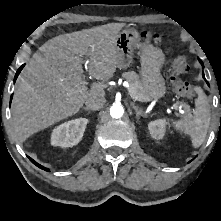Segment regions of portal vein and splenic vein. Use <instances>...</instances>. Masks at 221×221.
Segmentation results:
<instances>
[{"label": "portal vein and splenic vein", "instance_id": "portal-vein-and-splenic-vein-1", "mask_svg": "<svg viewBox=\"0 0 221 221\" xmlns=\"http://www.w3.org/2000/svg\"><path fill=\"white\" fill-rule=\"evenodd\" d=\"M87 64H88V61H86V63H85V68H86V69H87ZM85 90H87V88H86L85 85H82V86L78 87V91H79V92H83V91H85ZM129 93H130V95L132 96L133 99H135V100L137 99V98L133 95L132 91H129ZM172 108L175 109V110H178V106H177L176 104H173V105H172Z\"/></svg>", "mask_w": 221, "mask_h": 221}]
</instances>
